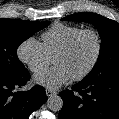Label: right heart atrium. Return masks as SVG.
<instances>
[{"instance_id":"d8ad5b80","label":"right heart atrium","mask_w":119,"mask_h":119,"mask_svg":"<svg viewBox=\"0 0 119 119\" xmlns=\"http://www.w3.org/2000/svg\"><path fill=\"white\" fill-rule=\"evenodd\" d=\"M17 56L32 72L41 71L52 60L42 43L35 38L22 41L17 48Z\"/></svg>"}]
</instances>
